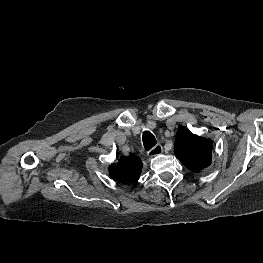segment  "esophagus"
I'll return each mask as SVG.
<instances>
[{"instance_id": "1", "label": "esophagus", "mask_w": 263, "mask_h": 263, "mask_svg": "<svg viewBox=\"0 0 263 263\" xmlns=\"http://www.w3.org/2000/svg\"><path fill=\"white\" fill-rule=\"evenodd\" d=\"M162 151H163V148H162L161 144H157L155 147H153L151 150L148 151V156L149 157L157 156V155L161 154Z\"/></svg>"}]
</instances>
